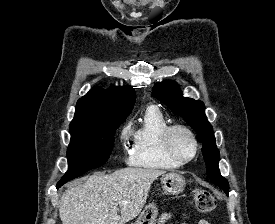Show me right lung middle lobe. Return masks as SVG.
<instances>
[{"label": "right lung middle lobe", "instance_id": "right-lung-middle-lobe-1", "mask_svg": "<svg viewBox=\"0 0 275 224\" xmlns=\"http://www.w3.org/2000/svg\"><path fill=\"white\" fill-rule=\"evenodd\" d=\"M123 121L70 126L68 171L57 185L62 186L67 181L104 164L113 149L115 130Z\"/></svg>", "mask_w": 275, "mask_h": 224}]
</instances>
